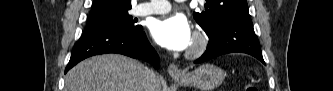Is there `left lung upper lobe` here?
<instances>
[{"label":"left lung upper lobe","mask_w":333,"mask_h":91,"mask_svg":"<svg viewBox=\"0 0 333 91\" xmlns=\"http://www.w3.org/2000/svg\"><path fill=\"white\" fill-rule=\"evenodd\" d=\"M205 10L193 13L194 19L209 36L226 20L250 16L247 0H206Z\"/></svg>","instance_id":"left-lung-upper-lobe-1"}]
</instances>
